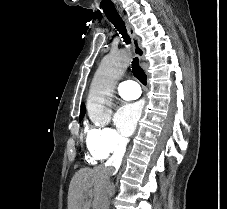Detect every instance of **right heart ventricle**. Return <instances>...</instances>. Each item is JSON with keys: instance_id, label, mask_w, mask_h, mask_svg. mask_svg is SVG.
Masks as SVG:
<instances>
[{"instance_id": "obj_1", "label": "right heart ventricle", "mask_w": 227, "mask_h": 209, "mask_svg": "<svg viewBox=\"0 0 227 209\" xmlns=\"http://www.w3.org/2000/svg\"><path fill=\"white\" fill-rule=\"evenodd\" d=\"M85 159L91 165H95L99 160H102L99 154L90 148H87Z\"/></svg>"}]
</instances>
